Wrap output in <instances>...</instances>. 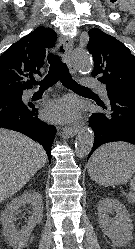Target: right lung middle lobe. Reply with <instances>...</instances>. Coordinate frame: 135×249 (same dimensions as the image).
Returning <instances> with one entry per match:
<instances>
[{
    "label": "right lung middle lobe",
    "instance_id": "obj_1",
    "mask_svg": "<svg viewBox=\"0 0 135 249\" xmlns=\"http://www.w3.org/2000/svg\"><path fill=\"white\" fill-rule=\"evenodd\" d=\"M7 94H11V95H14L16 97H22V92H10V93H7Z\"/></svg>",
    "mask_w": 135,
    "mask_h": 249
}]
</instances>
